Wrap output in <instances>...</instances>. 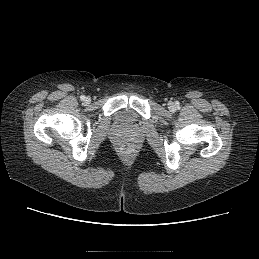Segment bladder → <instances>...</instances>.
<instances>
[{
    "label": "bladder",
    "mask_w": 259,
    "mask_h": 259,
    "mask_svg": "<svg viewBox=\"0 0 259 259\" xmlns=\"http://www.w3.org/2000/svg\"><path fill=\"white\" fill-rule=\"evenodd\" d=\"M133 119V114L128 110L119 111L116 115V121L123 126L131 125Z\"/></svg>",
    "instance_id": "31cf9c89"
}]
</instances>
